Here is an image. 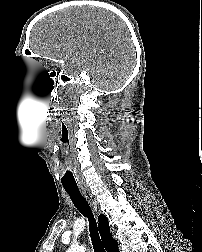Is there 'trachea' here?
Instances as JSON below:
<instances>
[{
  "instance_id": "trachea-1",
  "label": "trachea",
  "mask_w": 202,
  "mask_h": 252,
  "mask_svg": "<svg viewBox=\"0 0 202 252\" xmlns=\"http://www.w3.org/2000/svg\"><path fill=\"white\" fill-rule=\"evenodd\" d=\"M64 189L69 194L73 204L79 210V212L83 214L85 217H87L89 220V231L94 252H104L98 234L96 220L92 214L88 202L82 196L78 187H64Z\"/></svg>"
}]
</instances>
